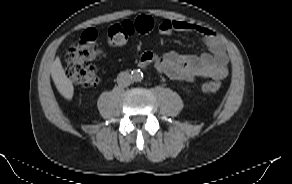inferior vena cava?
Listing matches in <instances>:
<instances>
[{
  "mask_svg": "<svg viewBox=\"0 0 292 184\" xmlns=\"http://www.w3.org/2000/svg\"><path fill=\"white\" fill-rule=\"evenodd\" d=\"M131 82H132V78L128 71L121 72L117 76V83L121 87H127L131 84Z\"/></svg>",
  "mask_w": 292,
  "mask_h": 184,
  "instance_id": "1",
  "label": "inferior vena cava"
}]
</instances>
